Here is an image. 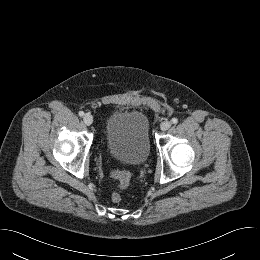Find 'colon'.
I'll list each match as a JSON object with an SVG mask.
<instances>
[{"mask_svg": "<svg viewBox=\"0 0 260 260\" xmlns=\"http://www.w3.org/2000/svg\"><path fill=\"white\" fill-rule=\"evenodd\" d=\"M111 176L117 180L118 187L120 189H124L129 185L130 182V174L127 171L123 170H113L111 172ZM122 200V197L119 193L114 192L111 195V201L113 203H120Z\"/></svg>", "mask_w": 260, "mask_h": 260, "instance_id": "colon-1", "label": "colon"}]
</instances>
